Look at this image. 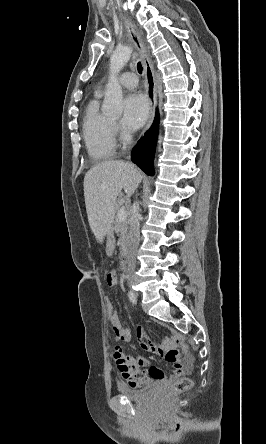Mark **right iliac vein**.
Instances as JSON below:
<instances>
[{"mask_svg": "<svg viewBox=\"0 0 266 444\" xmlns=\"http://www.w3.org/2000/svg\"><path fill=\"white\" fill-rule=\"evenodd\" d=\"M128 284H129L130 286H132V285L134 284L133 279H129V280H128ZM135 296H138V292H135Z\"/></svg>", "mask_w": 266, "mask_h": 444, "instance_id": "obj_1", "label": "right iliac vein"}]
</instances>
